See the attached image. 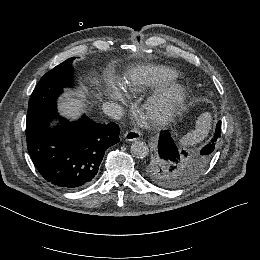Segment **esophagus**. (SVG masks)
Masks as SVG:
<instances>
[{"instance_id":"1","label":"esophagus","mask_w":260,"mask_h":260,"mask_svg":"<svg viewBox=\"0 0 260 260\" xmlns=\"http://www.w3.org/2000/svg\"><path fill=\"white\" fill-rule=\"evenodd\" d=\"M141 136H142L141 132L135 129L127 131L124 135L125 139L130 142L141 139Z\"/></svg>"}]
</instances>
